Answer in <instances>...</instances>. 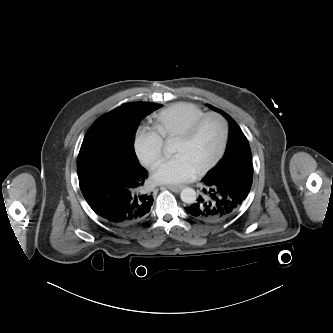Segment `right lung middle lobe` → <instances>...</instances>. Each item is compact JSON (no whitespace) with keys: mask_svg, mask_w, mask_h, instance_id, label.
Wrapping results in <instances>:
<instances>
[{"mask_svg":"<svg viewBox=\"0 0 333 333\" xmlns=\"http://www.w3.org/2000/svg\"><path fill=\"white\" fill-rule=\"evenodd\" d=\"M161 104L131 102L101 116L86 133L78 161L121 163L140 167L133 136L141 120Z\"/></svg>","mask_w":333,"mask_h":333,"instance_id":"right-lung-middle-lobe-1","label":"right lung middle lobe"}]
</instances>
